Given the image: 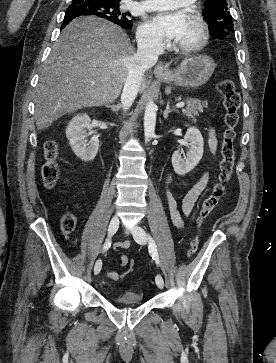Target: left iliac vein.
Segmentation results:
<instances>
[{
	"label": "left iliac vein",
	"mask_w": 276,
	"mask_h": 363,
	"mask_svg": "<svg viewBox=\"0 0 276 363\" xmlns=\"http://www.w3.org/2000/svg\"><path fill=\"white\" fill-rule=\"evenodd\" d=\"M133 237L137 243L140 245H145L147 243V235L144 229L136 225L133 229ZM155 282L159 288L164 287V279L160 274L156 275Z\"/></svg>",
	"instance_id": "obj_1"
}]
</instances>
